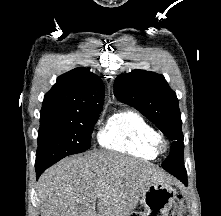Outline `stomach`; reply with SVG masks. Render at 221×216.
Segmentation results:
<instances>
[{
    "instance_id": "1",
    "label": "stomach",
    "mask_w": 221,
    "mask_h": 216,
    "mask_svg": "<svg viewBox=\"0 0 221 216\" xmlns=\"http://www.w3.org/2000/svg\"><path fill=\"white\" fill-rule=\"evenodd\" d=\"M176 190L167 182H156L141 194L142 212H132L129 216H168L175 202Z\"/></svg>"
}]
</instances>
